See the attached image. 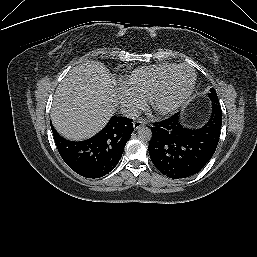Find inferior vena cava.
Wrapping results in <instances>:
<instances>
[{"label": "inferior vena cava", "mask_w": 257, "mask_h": 257, "mask_svg": "<svg viewBox=\"0 0 257 257\" xmlns=\"http://www.w3.org/2000/svg\"><path fill=\"white\" fill-rule=\"evenodd\" d=\"M120 111L123 116L133 120L140 115L139 110L133 106H122Z\"/></svg>", "instance_id": "1"}]
</instances>
